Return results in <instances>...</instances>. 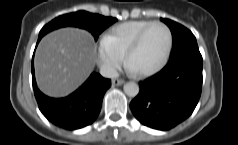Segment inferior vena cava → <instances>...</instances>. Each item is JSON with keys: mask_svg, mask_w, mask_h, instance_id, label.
Instances as JSON below:
<instances>
[{"mask_svg": "<svg viewBox=\"0 0 238 145\" xmlns=\"http://www.w3.org/2000/svg\"><path fill=\"white\" fill-rule=\"evenodd\" d=\"M100 74L106 78H117L119 76L118 71L114 67L107 65L100 67Z\"/></svg>", "mask_w": 238, "mask_h": 145, "instance_id": "inferior-vena-cava-1", "label": "inferior vena cava"}]
</instances>
